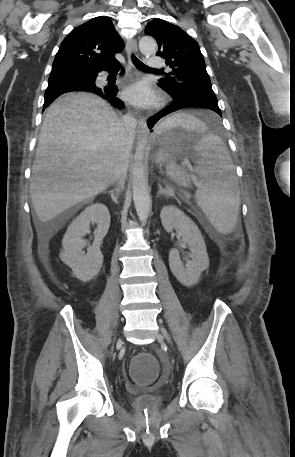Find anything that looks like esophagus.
I'll use <instances>...</instances> for the list:
<instances>
[{
	"label": "esophagus",
	"mask_w": 295,
	"mask_h": 457,
	"mask_svg": "<svg viewBox=\"0 0 295 457\" xmlns=\"http://www.w3.org/2000/svg\"><path fill=\"white\" fill-rule=\"evenodd\" d=\"M138 51V47H137V42L135 39H131L127 42L126 44V53H127V57H128V63H129V66L132 65V62H131V55L133 53H137ZM137 134H138V139L139 141H144L146 140V138L148 137L149 135V129L147 127V123H146V119L145 118H141L139 119L138 121V127H137Z\"/></svg>",
	"instance_id": "1"
}]
</instances>
